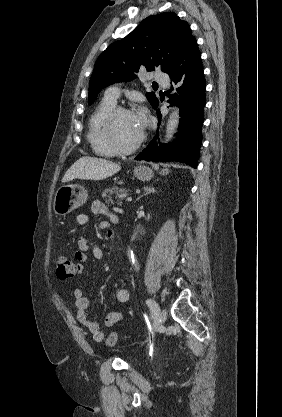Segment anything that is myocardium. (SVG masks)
<instances>
[{
	"label": "myocardium",
	"instance_id": "obj_1",
	"mask_svg": "<svg viewBox=\"0 0 282 417\" xmlns=\"http://www.w3.org/2000/svg\"><path fill=\"white\" fill-rule=\"evenodd\" d=\"M123 114L134 115V112L121 106L114 107L103 119L105 134L103 135L106 144L117 153L128 152L137 149L142 145L146 138L145 130H142L141 136L137 141L129 145H123L116 141L113 135V129L116 119Z\"/></svg>",
	"mask_w": 282,
	"mask_h": 417
}]
</instances>
